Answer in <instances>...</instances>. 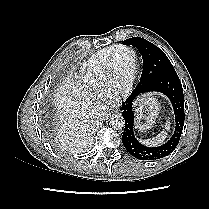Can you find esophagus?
I'll return each mask as SVG.
<instances>
[{
  "instance_id": "34e87169",
  "label": "esophagus",
  "mask_w": 209,
  "mask_h": 209,
  "mask_svg": "<svg viewBox=\"0 0 209 209\" xmlns=\"http://www.w3.org/2000/svg\"><path fill=\"white\" fill-rule=\"evenodd\" d=\"M118 110H119V107H118L117 105H115V104L111 105V111H112L113 113L118 112Z\"/></svg>"
}]
</instances>
